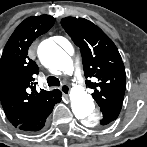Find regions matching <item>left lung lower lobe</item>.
I'll use <instances>...</instances> for the list:
<instances>
[{
	"instance_id": "obj_1",
	"label": "left lung lower lobe",
	"mask_w": 147,
	"mask_h": 147,
	"mask_svg": "<svg viewBox=\"0 0 147 147\" xmlns=\"http://www.w3.org/2000/svg\"><path fill=\"white\" fill-rule=\"evenodd\" d=\"M121 107H122V105H114L111 107L100 109L103 114V118H102L100 124L107 125L110 122H112L113 120H115L120 113Z\"/></svg>"
}]
</instances>
